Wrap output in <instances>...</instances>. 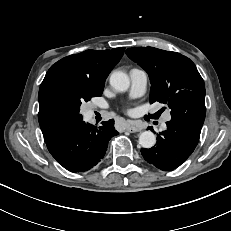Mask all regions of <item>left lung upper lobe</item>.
Returning <instances> with one entry per match:
<instances>
[{
	"mask_svg": "<svg viewBox=\"0 0 231 231\" xmlns=\"http://www.w3.org/2000/svg\"><path fill=\"white\" fill-rule=\"evenodd\" d=\"M126 54L148 73L151 103L166 104L172 121L201 131L206 115L205 87L194 63L180 53L153 47L129 48ZM163 109L149 117H159Z\"/></svg>",
	"mask_w": 231,
	"mask_h": 231,
	"instance_id": "5c2ea615",
	"label": "left lung upper lobe"
}]
</instances>
